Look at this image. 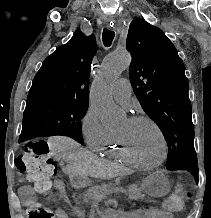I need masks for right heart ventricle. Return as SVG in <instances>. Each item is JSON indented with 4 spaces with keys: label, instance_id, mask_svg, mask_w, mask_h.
I'll return each mask as SVG.
<instances>
[{
    "label": "right heart ventricle",
    "instance_id": "e07e8e85",
    "mask_svg": "<svg viewBox=\"0 0 211 218\" xmlns=\"http://www.w3.org/2000/svg\"><path fill=\"white\" fill-rule=\"evenodd\" d=\"M95 150L109 158L132 164V162L124 155L120 149L116 140V136L112 133H110L107 140Z\"/></svg>",
    "mask_w": 211,
    "mask_h": 218
}]
</instances>
